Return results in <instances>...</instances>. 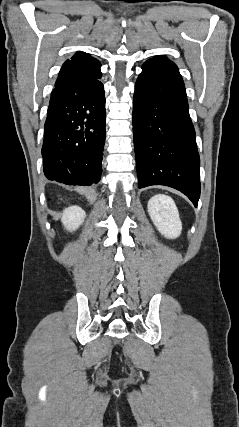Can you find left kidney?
<instances>
[{"label":"left kidney","instance_id":"obj_1","mask_svg":"<svg viewBox=\"0 0 239 427\" xmlns=\"http://www.w3.org/2000/svg\"><path fill=\"white\" fill-rule=\"evenodd\" d=\"M148 213L158 231L166 238H177L182 223L175 202L169 196L158 194L148 202Z\"/></svg>","mask_w":239,"mask_h":427}]
</instances>
